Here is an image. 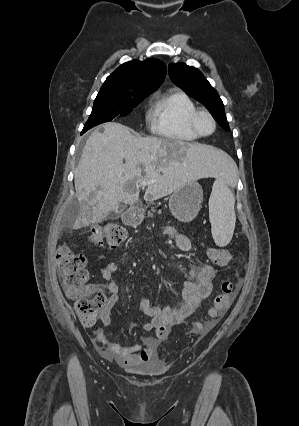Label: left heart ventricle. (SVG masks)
<instances>
[{
	"mask_svg": "<svg viewBox=\"0 0 299 426\" xmlns=\"http://www.w3.org/2000/svg\"><path fill=\"white\" fill-rule=\"evenodd\" d=\"M198 125H199L200 130L203 133H210L213 129V125H212L211 120L206 116L200 117V119L198 121Z\"/></svg>",
	"mask_w": 299,
	"mask_h": 426,
	"instance_id": "b2bd125f",
	"label": "left heart ventricle"
}]
</instances>
